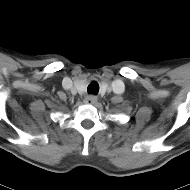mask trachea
Segmentation results:
<instances>
[{
    "label": "trachea",
    "instance_id": "obj_1",
    "mask_svg": "<svg viewBox=\"0 0 190 190\" xmlns=\"http://www.w3.org/2000/svg\"><path fill=\"white\" fill-rule=\"evenodd\" d=\"M88 94L97 95L99 92V84L96 81L91 82L87 87Z\"/></svg>",
    "mask_w": 190,
    "mask_h": 190
}]
</instances>
